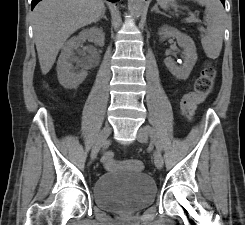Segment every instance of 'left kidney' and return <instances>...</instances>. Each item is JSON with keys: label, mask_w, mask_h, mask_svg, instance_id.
<instances>
[{"label": "left kidney", "mask_w": 245, "mask_h": 225, "mask_svg": "<svg viewBox=\"0 0 245 225\" xmlns=\"http://www.w3.org/2000/svg\"><path fill=\"white\" fill-rule=\"evenodd\" d=\"M159 35L161 39L176 38L178 45L183 48L184 63L182 67H178L171 58H166L164 63L177 79L186 80L198 58L194 41L190 36L168 26L162 27Z\"/></svg>", "instance_id": "left-kidney-1"}]
</instances>
